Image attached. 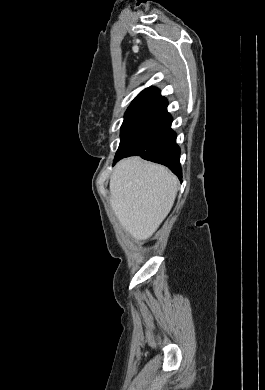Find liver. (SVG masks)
I'll return each instance as SVG.
<instances>
[{
	"label": "liver",
	"mask_w": 265,
	"mask_h": 390,
	"mask_svg": "<svg viewBox=\"0 0 265 390\" xmlns=\"http://www.w3.org/2000/svg\"><path fill=\"white\" fill-rule=\"evenodd\" d=\"M178 179L166 167L130 157L110 178V204L122 227L137 241L150 238L170 212Z\"/></svg>",
	"instance_id": "obj_1"
}]
</instances>
